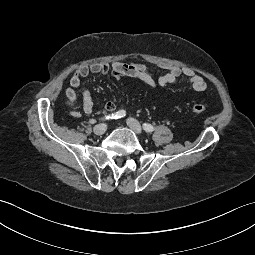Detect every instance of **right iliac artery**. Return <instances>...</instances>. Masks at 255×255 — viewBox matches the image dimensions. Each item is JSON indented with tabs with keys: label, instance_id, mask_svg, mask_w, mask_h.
Segmentation results:
<instances>
[{
	"label": "right iliac artery",
	"instance_id": "obj_1",
	"mask_svg": "<svg viewBox=\"0 0 255 255\" xmlns=\"http://www.w3.org/2000/svg\"><path fill=\"white\" fill-rule=\"evenodd\" d=\"M126 115V111L125 110H119L115 113L109 114L105 117V119H119L122 118ZM103 120V119H102Z\"/></svg>",
	"mask_w": 255,
	"mask_h": 255
}]
</instances>
